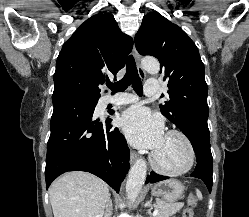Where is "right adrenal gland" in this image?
I'll return each instance as SVG.
<instances>
[{
    "label": "right adrenal gland",
    "instance_id": "obj_1",
    "mask_svg": "<svg viewBox=\"0 0 249 217\" xmlns=\"http://www.w3.org/2000/svg\"><path fill=\"white\" fill-rule=\"evenodd\" d=\"M112 214V201L111 198L109 197L107 204H106V211L104 213V217H110Z\"/></svg>",
    "mask_w": 249,
    "mask_h": 217
}]
</instances>
